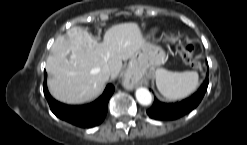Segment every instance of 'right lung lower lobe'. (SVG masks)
Wrapping results in <instances>:
<instances>
[{"instance_id": "98d812e1", "label": "right lung lower lobe", "mask_w": 247, "mask_h": 145, "mask_svg": "<svg viewBox=\"0 0 247 145\" xmlns=\"http://www.w3.org/2000/svg\"><path fill=\"white\" fill-rule=\"evenodd\" d=\"M43 89L52 112L58 118L85 128L94 127L104 120L107 113L108 101L114 92V87L109 84L104 93L94 102L83 106H69L51 97L47 90L46 79Z\"/></svg>"}]
</instances>
